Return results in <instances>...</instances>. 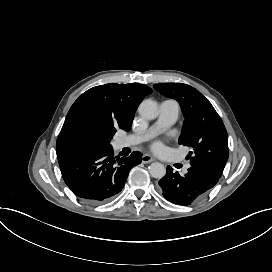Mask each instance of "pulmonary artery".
<instances>
[{
    "mask_svg": "<svg viewBox=\"0 0 272 272\" xmlns=\"http://www.w3.org/2000/svg\"><path fill=\"white\" fill-rule=\"evenodd\" d=\"M179 104L174 100H165L160 104L158 120L154 125L147 129H143L135 134L120 137L113 141L112 145L114 150H121L123 147L135 145L140 142L146 141L160 132L171 127L178 119ZM182 172L187 173L191 167L187 164L182 165Z\"/></svg>",
    "mask_w": 272,
    "mask_h": 272,
    "instance_id": "obj_1",
    "label": "pulmonary artery"
}]
</instances>
